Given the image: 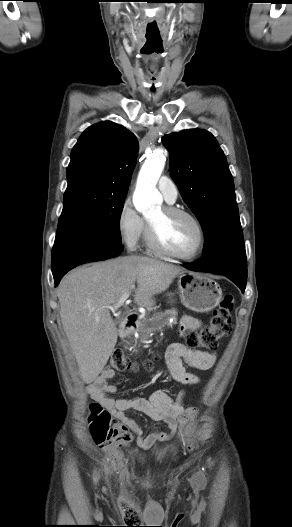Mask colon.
Segmentation results:
<instances>
[{"instance_id":"obj_1","label":"colon","mask_w":292,"mask_h":527,"mask_svg":"<svg viewBox=\"0 0 292 527\" xmlns=\"http://www.w3.org/2000/svg\"><path fill=\"white\" fill-rule=\"evenodd\" d=\"M233 307V296L226 294L214 310L208 325L197 331H184L188 345L193 348L215 349L219 340L228 336L232 331L231 312ZM137 367V364L132 362L121 350H116L109 362L110 370H136ZM144 367L150 370L152 362H145ZM89 410L90 433L97 445L114 451L130 443L131 436L126 426L115 421L110 411L101 402L92 403ZM130 512L137 513L134 508H130Z\"/></svg>"}]
</instances>
